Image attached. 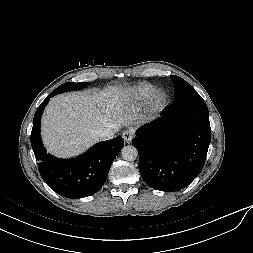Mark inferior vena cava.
Masks as SVG:
<instances>
[{
  "instance_id": "1",
  "label": "inferior vena cava",
  "mask_w": 253,
  "mask_h": 253,
  "mask_svg": "<svg viewBox=\"0 0 253 253\" xmlns=\"http://www.w3.org/2000/svg\"><path fill=\"white\" fill-rule=\"evenodd\" d=\"M116 125H111L110 127L104 129H98L94 131V135L100 140H109L114 137V134L118 131Z\"/></svg>"
}]
</instances>
